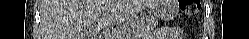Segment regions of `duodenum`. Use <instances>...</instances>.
<instances>
[{
    "instance_id": "obj_1",
    "label": "duodenum",
    "mask_w": 249,
    "mask_h": 39,
    "mask_svg": "<svg viewBox=\"0 0 249 39\" xmlns=\"http://www.w3.org/2000/svg\"><path fill=\"white\" fill-rule=\"evenodd\" d=\"M101 38H102V39H107V36L103 34V35L101 36Z\"/></svg>"
}]
</instances>
